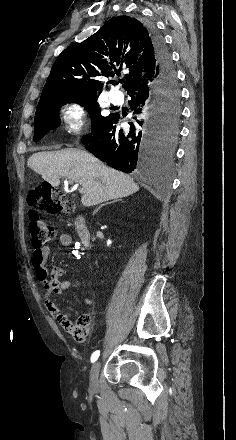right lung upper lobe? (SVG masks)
I'll list each match as a JSON object with an SVG mask.
<instances>
[{
	"instance_id": "obj_1",
	"label": "right lung upper lobe",
	"mask_w": 236,
	"mask_h": 440,
	"mask_svg": "<svg viewBox=\"0 0 236 440\" xmlns=\"http://www.w3.org/2000/svg\"><path fill=\"white\" fill-rule=\"evenodd\" d=\"M126 71L123 88L129 93L155 83L159 68L149 31L137 19L111 18L95 34L66 48L56 59L40 100L71 93H94L99 77Z\"/></svg>"
}]
</instances>
